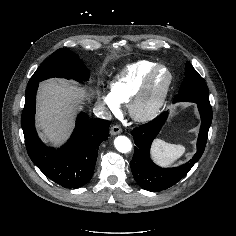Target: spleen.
<instances>
[{"instance_id":"spleen-1","label":"spleen","mask_w":236,"mask_h":236,"mask_svg":"<svg viewBox=\"0 0 236 236\" xmlns=\"http://www.w3.org/2000/svg\"><path fill=\"white\" fill-rule=\"evenodd\" d=\"M153 158L161 165H170L185 153L182 145L170 144L156 139L151 149Z\"/></svg>"}]
</instances>
